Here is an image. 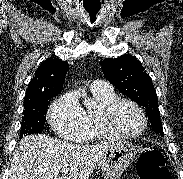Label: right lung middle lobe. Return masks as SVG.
Instances as JSON below:
<instances>
[{
  "mask_svg": "<svg viewBox=\"0 0 183 179\" xmlns=\"http://www.w3.org/2000/svg\"><path fill=\"white\" fill-rule=\"evenodd\" d=\"M44 98L38 102L24 105L23 120L21 123L20 136H27L34 133H41L46 121V111L49 105V99Z\"/></svg>",
  "mask_w": 183,
  "mask_h": 179,
  "instance_id": "obj_1",
  "label": "right lung middle lobe"
}]
</instances>
